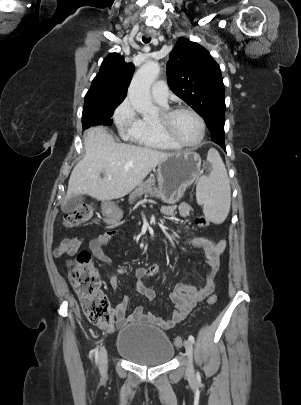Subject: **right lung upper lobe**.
I'll list each match as a JSON object with an SVG mask.
<instances>
[{
    "mask_svg": "<svg viewBox=\"0 0 301 405\" xmlns=\"http://www.w3.org/2000/svg\"><path fill=\"white\" fill-rule=\"evenodd\" d=\"M133 72L134 65L126 63L123 56L118 53L108 55L92 81L85 101L102 99L121 103L127 95V87Z\"/></svg>",
    "mask_w": 301,
    "mask_h": 405,
    "instance_id": "obj_1",
    "label": "right lung upper lobe"
}]
</instances>
